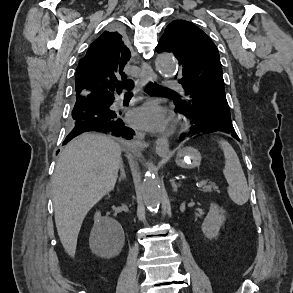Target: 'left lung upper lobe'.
Masks as SVG:
<instances>
[{"label":"left lung upper lobe","instance_id":"left-lung-upper-lobe-1","mask_svg":"<svg viewBox=\"0 0 293 293\" xmlns=\"http://www.w3.org/2000/svg\"><path fill=\"white\" fill-rule=\"evenodd\" d=\"M156 49L172 52L181 66L175 78L187 98H175L176 105L204 122H231L219 53L200 28L188 21L174 20L166 27Z\"/></svg>","mask_w":293,"mask_h":293}]
</instances>
